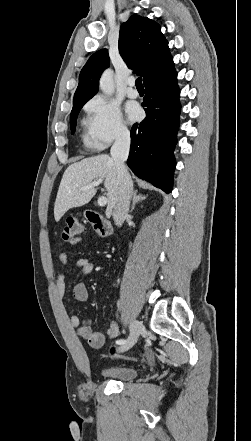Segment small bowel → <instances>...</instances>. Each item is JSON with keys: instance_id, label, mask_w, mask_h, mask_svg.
Returning <instances> with one entry per match:
<instances>
[{"instance_id": "small-bowel-1", "label": "small bowel", "mask_w": 251, "mask_h": 441, "mask_svg": "<svg viewBox=\"0 0 251 441\" xmlns=\"http://www.w3.org/2000/svg\"><path fill=\"white\" fill-rule=\"evenodd\" d=\"M79 242L80 238H75L71 241L72 244H78ZM59 261L63 265L68 264V254L61 253L59 255ZM76 267L81 275H87L94 269L93 263L85 257H81L76 260ZM56 289L58 295L61 298H64L66 294V274L64 272L56 275ZM73 296L78 301H86L88 299V289L86 285L84 283L75 284L73 287ZM70 323L75 329H77L79 335L86 339L90 346L95 349L101 348L104 345L107 337L114 338L120 334L119 326L114 321L110 322L105 332H94L90 321L88 319H81L76 314L70 315ZM147 356L149 359L152 358V354L150 352L147 353Z\"/></svg>"}]
</instances>
